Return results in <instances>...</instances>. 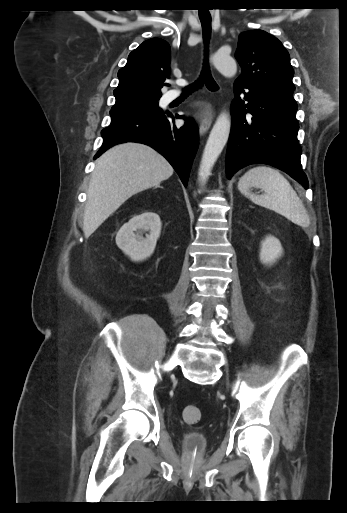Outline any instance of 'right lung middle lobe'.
I'll list each match as a JSON object with an SVG mask.
<instances>
[{"instance_id":"obj_1","label":"right lung middle lobe","mask_w":347,"mask_h":513,"mask_svg":"<svg viewBox=\"0 0 347 513\" xmlns=\"http://www.w3.org/2000/svg\"><path fill=\"white\" fill-rule=\"evenodd\" d=\"M158 100L159 98H147L122 105H115L110 111L111 118L139 113H160L162 110L158 107Z\"/></svg>"}]
</instances>
